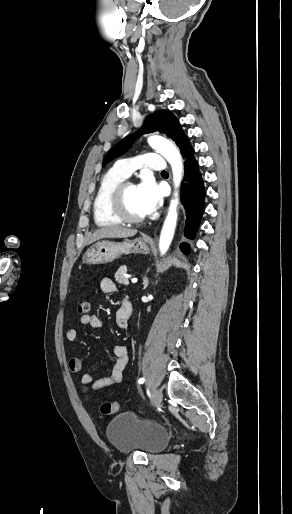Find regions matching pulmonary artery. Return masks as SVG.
Wrapping results in <instances>:
<instances>
[{
  "label": "pulmonary artery",
  "mask_w": 292,
  "mask_h": 514,
  "mask_svg": "<svg viewBox=\"0 0 292 514\" xmlns=\"http://www.w3.org/2000/svg\"><path fill=\"white\" fill-rule=\"evenodd\" d=\"M114 169L124 178H129L133 171L164 172L167 169L166 160L158 156L156 151H139L136 157L120 156L114 164Z\"/></svg>",
  "instance_id": "pulmonary-artery-1"
}]
</instances>
